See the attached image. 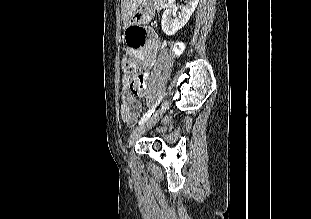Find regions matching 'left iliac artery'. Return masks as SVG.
<instances>
[{
  "mask_svg": "<svg viewBox=\"0 0 311 219\" xmlns=\"http://www.w3.org/2000/svg\"><path fill=\"white\" fill-rule=\"evenodd\" d=\"M163 98V95H161L158 99V102H156V104L151 108L149 109L143 116L142 118L140 119L139 121V125L143 124L145 121H147L151 115L154 113L155 111V108L157 107V105L160 103V101L162 100Z\"/></svg>",
  "mask_w": 311,
  "mask_h": 219,
  "instance_id": "44dca946",
  "label": "left iliac artery"
}]
</instances>
